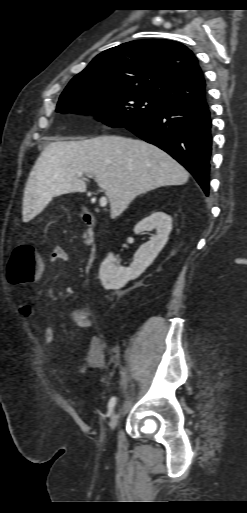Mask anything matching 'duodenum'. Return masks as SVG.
<instances>
[{
	"mask_svg": "<svg viewBox=\"0 0 247 513\" xmlns=\"http://www.w3.org/2000/svg\"><path fill=\"white\" fill-rule=\"evenodd\" d=\"M81 218L84 224L89 228L90 232L88 235V240L91 244L94 242L93 229L95 225L94 215L87 209H83L81 212ZM97 258V250L92 247L90 250L89 259L94 262Z\"/></svg>",
	"mask_w": 247,
	"mask_h": 513,
	"instance_id": "1",
	"label": "duodenum"
}]
</instances>
